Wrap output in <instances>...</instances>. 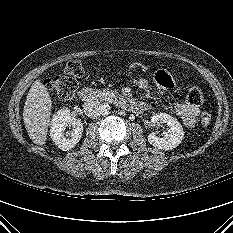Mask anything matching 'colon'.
Segmentation results:
<instances>
[{"mask_svg": "<svg viewBox=\"0 0 233 233\" xmlns=\"http://www.w3.org/2000/svg\"><path fill=\"white\" fill-rule=\"evenodd\" d=\"M84 75V66L80 59H72L67 62L64 68V74L49 78L45 81V86L60 99L72 98L78 88L79 79ZM203 93L192 88L187 96L186 102L194 107H198L203 103ZM203 126H208L211 122V115L203 112L200 117Z\"/></svg>", "mask_w": 233, "mask_h": 233, "instance_id": "obj_1", "label": "colon"}]
</instances>
